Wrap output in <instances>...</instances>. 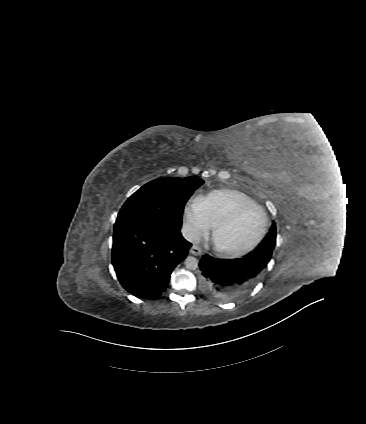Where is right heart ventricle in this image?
I'll return each instance as SVG.
<instances>
[{
	"label": "right heart ventricle",
	"instance_id": "obj_1",
	"mask_svg": "<svg viewBox=\"0 0 366 424\" xmlns=\"http://www.w3.org/2000/svg\"><path fill=\"white\" fill-rule=\"evenodd\" d=\"M247 203L257 204L244 192L228 188L213 190L203 197L205 213L211 225L235 207Z\"/></svg>",
	"mask_w": 366,
	"mask_h": 424
}]
</instances>
